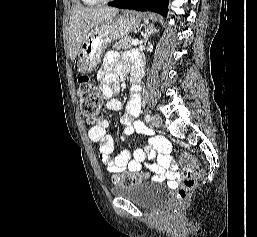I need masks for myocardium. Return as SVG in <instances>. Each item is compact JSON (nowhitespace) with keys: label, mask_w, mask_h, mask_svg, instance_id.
<instances>
[{"label":"myocardium","mask_w":257,"mask_h":237,"mask_svg":"<svg viewBox=\"0 0 257 237\" xmlns=\"http://www.w3.org/2000/svg\"><path fill=\"white\" fill-rule=\"evenodd\" d=\"M98 1L106 2V1H112V0H98Z\"/></svg>","instance_id":"1"}]
</instances>
